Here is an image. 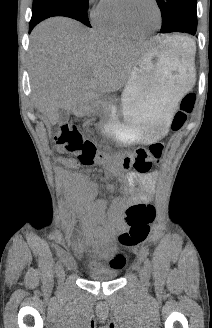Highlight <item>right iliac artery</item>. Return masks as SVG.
Wrapping results in <instances>:
<instances>
[{"label":"right iliac artery","mask_w":212,"mask_h":328,"mask_svg":"<svg viewBox=\"0 0 212 328\" xmlns=\"http://www.w3.org/2000/svg\"><path fill=\"white\" fill-rule=\"evenodd\" d=\"M62 268V263L60 261H58L56 263V273L59 274V271L61 270Z\"/></svg>","instance_id":"1"}]
</instances>
